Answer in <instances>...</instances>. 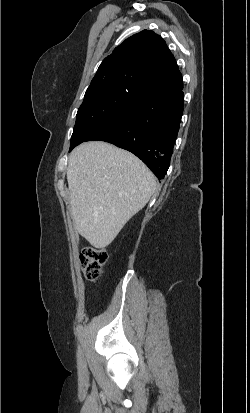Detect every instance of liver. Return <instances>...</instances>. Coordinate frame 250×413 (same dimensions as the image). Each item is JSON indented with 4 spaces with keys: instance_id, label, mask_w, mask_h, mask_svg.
Here are the masks:
<instances>
[{
    "instance_id": "1",
    "label": "liver",
    "mask_w": 250,
    "mask_h": 413,
    "mask_svg": "<svg viewBox=\"0 0 250 413\" xmlns=\"http://www.w3.org/2000/svg\"><path fill=\"white\" fill-rule=\"evenodd\" d=\"M67 181L74 226L93 247L103 249L154 193L156 180L132 153L93 141L69 156Z\"/></svg>"
}]
</instances>
